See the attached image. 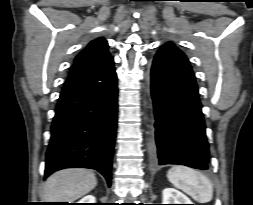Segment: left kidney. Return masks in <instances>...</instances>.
Instances as JSON below:
<instances>
[{"label":"left kidney","instance_id":"5707ae66","mask_svg":"<svg viewBox=\"0 0 253 205\" xmlns=\"http://www.w3.org/2000/svg\"><path fill=\"white\" fill-rule=\"evenodd\" d=\"M162 195L163 204H193L185 194L175 188H165Z\"/></svg>","mask_w":253,"mask_h":205}]
</instances>
